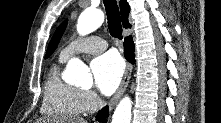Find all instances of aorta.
Masks as SVG:
<instances>
[{
	"label": "aorta",
	"instance_id": "1",
	"mask_svg": "<svg viewBox=\"0 0 221 123\" xmlns=\"http://www.w3.org/2000/svg\"><path fill=\"white\" fill-rule=\"evenodd\" d=\"M104 22V13L99 9L87 8L79 16L77 32L85 36L98 29ZM69 80L79 86L92 85V76L86 65L78 58H72L66 67ZM132 102L129 97H124L117 105L112 123H130Z\"/></svg>",
	"mask_w": 221,
	"mask_h": 123
}]
</instances>
